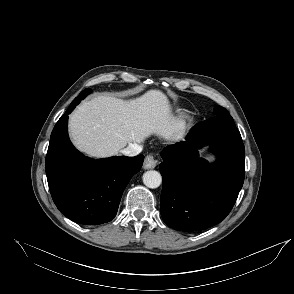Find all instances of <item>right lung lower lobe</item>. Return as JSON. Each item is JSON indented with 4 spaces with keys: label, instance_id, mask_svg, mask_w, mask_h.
<instances>
[{
    "label": "right lung lower lobe",
    "instance_id": "right-lung-lower-lobe-1",
    "mask_svg": "<svg viewBox=\"0 0 294 294\" xmlns=\"http://www.w3.org/2000/svg\"><path fill=\"white\" fill-rule=\"evenodd\" d=\"M80 93L84 98L90 93ZM81 99L68 107L50 137L45 169L51 196L67 218L84 225L111 221L122 193L134 174L140 171L143 155L90 159L81 154L68 137V115Z\"/></svg>",
    "mask_w": 294,
    "mask_h": 294
}]
</instances>
